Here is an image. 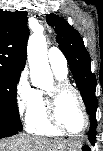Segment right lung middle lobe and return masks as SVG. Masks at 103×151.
<instances>
[{"mask_svg": "<svg viewBox=\"0 0 103 151\" xmlns=\"http://www.w3.org/2000/svg\"><path fill=\"white\" fill-rule=\"evenodd\" d=\"M21 72L0 67V129L21 131L16 103L17 83Z\"/></svg>", "mask_w": 103, "mask_h": 151, "instance_id": "dd1d6c3e", "label": "right lung middle lobe"}]
</instances>
